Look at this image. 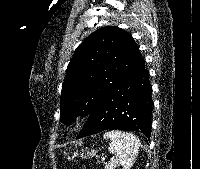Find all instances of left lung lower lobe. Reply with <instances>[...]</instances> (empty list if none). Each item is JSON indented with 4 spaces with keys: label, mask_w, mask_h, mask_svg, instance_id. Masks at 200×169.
<instances>
[{
    "label": "left lung lower lobe",
    "mask_w": 200,
    "mask_h": 169,
    "mask_svg": "<svg viewBox=\"0 0 200 169\" xmlns=\"http://www.w3.org/2000/svg\"><path fill=\"white\" fill-rule=\"evenodd\" d=\"M152 90L145 61L117 87L111 89L92 110L77 139L118 129L151 134Z\"/></svg>",
    "instance_id": "left-lung-lower-lobe-1"
}]
</instances>
